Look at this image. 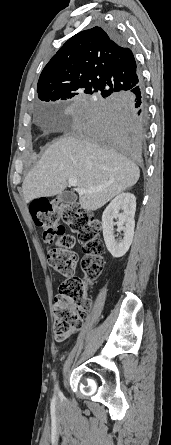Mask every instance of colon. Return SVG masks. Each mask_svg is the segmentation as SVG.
Listing matches in <instances>:
<instances>
[{
  "label": "colon",
  "mask_w": 171,
  "mask_h": 445,
  "mask_svg": "<svg viewBox=\"0 0 171 445\" xmlns=\"http://www.w3.org/2000/svg\"><path fill=\"white\" fill-rule=\"evenodd\" d=\"M29 210L34 224L43 229V241L54 245L47 253L49 266L58 275L66 277L54 300V335L57 339H66L81 328L89 307L87 285L103 267L104 244L99 238L101 221L90 211L58 200H35ZM76 240L85 253L83 278L74 275L77 256L71 248Z\"/></svg>",
  "instance_id": "obj_1"
}]
</instances>
